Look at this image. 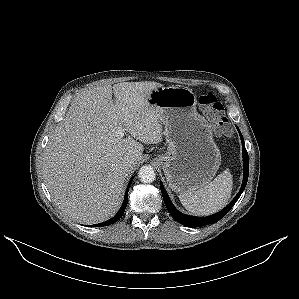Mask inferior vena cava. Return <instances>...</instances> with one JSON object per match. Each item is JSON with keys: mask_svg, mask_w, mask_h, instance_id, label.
I'll return each mask as SVG.
<instances>
[{"mask_svg": "<svg viewBox=\"0 0 299 299\" xmlns=\"http://www.w3.org/2000/svg\"><path fill=\"white\" fill-rule=\"evenodd\" d=\"M122 163L124 167H128L132 163V158L130 156H126Z\"/></svg>", "mask_w": 299, "mask_h": 299, "instance_id": "inferior-vena-cava-1", "label": "inferior vena cava"}]
</instances>
